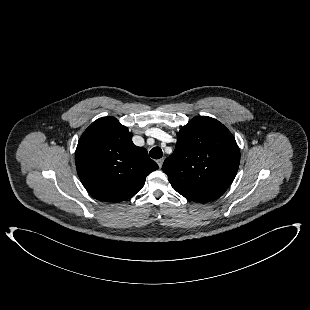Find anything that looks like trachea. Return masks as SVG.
I'll return each instance as SVG.
<instances>
[{"label": "trachea", "instance_id": "trachea-1", "mask_svg": "<svg viewBox=\"0 0 310 310\" xmlns=\"http://www.w3.org/2000/svg\"><path fill=\"white\" fill-rule=\"evenodd\" d=\"M149 155L153 159H160L163 156V152L160 147H154L150 150Z\"/></svg>", "mask_w": 310, "mask_h": 310}]
</instances>
